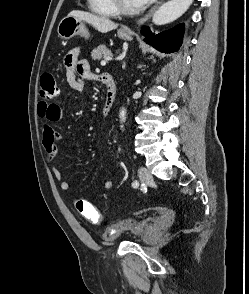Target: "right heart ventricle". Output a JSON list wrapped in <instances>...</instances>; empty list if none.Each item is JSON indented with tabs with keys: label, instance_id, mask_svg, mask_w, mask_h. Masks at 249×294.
Returning a JSON list of instances; mask_svg holds the SVG:
<instances>
[{
	"label": "right heart ventricle",
	"instance_id": "1",
	"mask_svg": "<svg viewBox=\"0 0 249 294\" xmlns=\"http://www.w3.org/2000/svg\"><path fill=\"white\" fill-rule=\"evenodd\" d=\"M87 3L89 9L97 15L106 17H115L118 15L111 0H87Z\"/></svg>",
	"mask_w": 249,
	"mask_h": 294
}]
</instances>
